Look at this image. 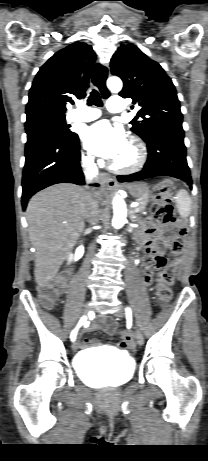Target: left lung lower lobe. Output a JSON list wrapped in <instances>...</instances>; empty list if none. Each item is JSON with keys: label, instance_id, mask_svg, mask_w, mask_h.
<instances>
[{"label": "left lung lower lobe", "instance_id": "left-lung-lower-lobe-1", "mask_svg": "<svg viewBox=\"0 0 208 461\" xmlns=\"http://www.w3.org/2000/svg\"><path fill=\"white\" fill-rule=\"evenodd\" d=\"M146 143L148 159L144 168L137 173L117 176L119 182L139 181L155 176H171L183 180L192 188L190 169L186 160L184 131L159 130Z\"/></svg>", "mask_w": 208, "mask_h": 461}]
</instances>
